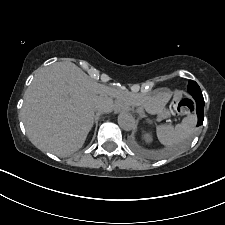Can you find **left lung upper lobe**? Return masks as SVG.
<instances>
[{
	"mask_svg": "<svg viewBox=\"0 0 225 225\" xmlns=\"http://www.w3.org/2000/svg\"><path fill=\"white\" fill-rule=\"evenodd\" d=\"M188 92L190 95H192L193 97H203L202 96V93H201V90H200V87L198 86V84L193 81V80H190L189 81V84H188Z\"/></svg>",
	"mask_w": 225,
	"mask_h": 225,
	"instance_id": "5c2ea615",
	"label": "left lung upper lobe"
}]
</instances>
